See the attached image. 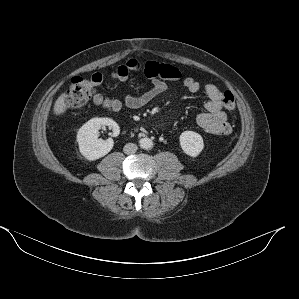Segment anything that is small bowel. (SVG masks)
I'll use <instances>...</instances> for the list:
<instances>
[{"instance_id": "c3829d8e", "label": "small bowel", "mask_w": 299, "mask_h": 299, "mask_svg": "<svg viewBox=\"0 0 299 299\" xmlns=\"http://www.w3.org/2000/svg\"><path fill=\"white\" fill-rule=\"evenodd\" d=\"M143 71L150 78V88L140 95H127L122 99L106 97L94 91L93 102L111 112L119 111L123 106L130 109H139L150 102L167 89V81L182 82L190 92L204 91L207 100L204 103L205 111L196 117V122L205 132L213 135H224L231 132L227 122V115L223 110V92L214 84L202 86L192 77H183L182 73L174 66L156 61H149L142 66L136 58H131L127 63L117 66L111 72V77L119 81L129 79L131 73ZM99 75V74H97ZM100 76V75H99ZM101 82V76L100 81Z\"/></svg>"}]
</instances>
